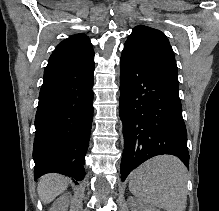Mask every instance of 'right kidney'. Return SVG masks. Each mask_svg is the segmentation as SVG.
Here are the masks:
<instances>
[{
	"instance_id": "right-kidney-1",
	"label": "right kidney",
	"mask_w": 219,
	"mask_h": 211,
	"mask_svg": "<svg viewBox=\"0 0 219 211\" xmlns=\"http://www.w3.org/2000/svg\"><path fill=\"white\" fill-rule=\"evenodd\" d=\"M68 209V195H60L53 201L50 211H67Z\"/></svg>"
}]
</instances>
